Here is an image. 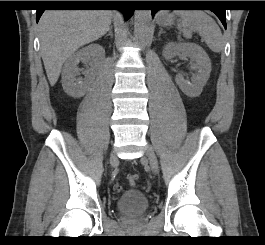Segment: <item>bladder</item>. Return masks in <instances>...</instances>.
I'll return each mask as SVG.
<instances>
[{
  "instance_id": "31cf9c89",
  "label": "bladder",
  "mask_w": 265,
  "mask_h": 245,
  "mask_svg": "<svg viewBox=\"0 0 265 245\" xmlns=\"http://www.w3.org/2000/svg\"><path fill=\"white\" fill-rule=\"evenodd\" d=\"M149 208L147 196L140 190H125L116 203L117 212L124 217H135L145 213Z\"/></svg>"
}]
</instances>
